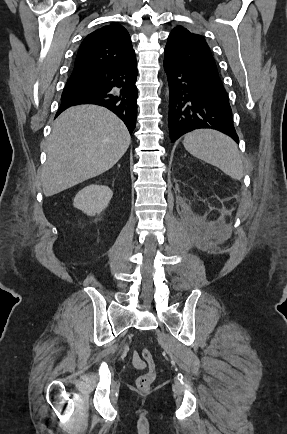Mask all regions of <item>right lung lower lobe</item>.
I'll use <instances>...</instances> for the list:
<instances>
[{"instance_id":"right-lung-lower-lobe-1","label":"right lung lower lobe","mask_w":287,"mask_h":434,"mask_svg":"<svg viewBox=\"0 0 287 434\" xmlns=\"http://www.w3.org/2000/svg\"><path fill=\"white\" fill-rule=\"evenodd\" d=\"M136 58L126 63L72 72L57 115L70 106L97 104L114 112L130 133L137 117Z\"/></svg>"}]
</instances>
